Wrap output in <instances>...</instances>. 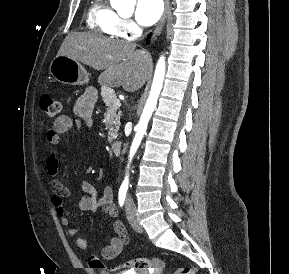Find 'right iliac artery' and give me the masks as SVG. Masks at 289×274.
<instances>
[{
	"instance_id": "right-iliac-artery-1",
	"label": "right iliac artery",
	"mask_w": 289,
	"mask_h": 274,
	"mask_svg": "<svg viewBox=\"0 0 289 274\" xmlns=\"http://www.w3.org/2000/svg\"><path fill=\"white\" fill-rule=\"evenodd\" d=\"M126 188H120L119 194H118V200H119V205L122 207L124 205V201L126 198Z\"/></svg>"
}]
</instances>
